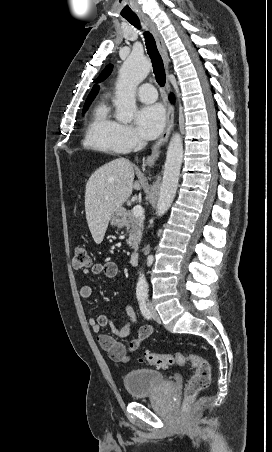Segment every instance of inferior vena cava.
Listing matches in <instances>:
<instances>
[{
	"label": "inferior vena cava",
	"mask_w": 272,
	"mask_h": 452,
	"mask_svg": "<svg viewBox=\"0 0 272 452\" xmlns=\"http://www.w3.org/2000/svg\"><path fill=\"white\" fill-rule=\"evenodd\" d=\"M145 145H146V142H145V141L139 140V141H138V144H137V147L135 148V150H136V151H137V150H140V149H142Z\"/></svg>",
	"instance_id": "1"
}]
</instances>
